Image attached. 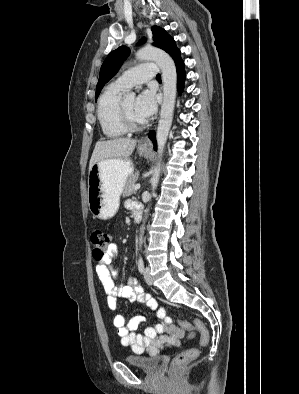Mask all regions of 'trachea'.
<instances>
[{
  "label": "trachea",
  "instance_id": "obj_1",
  "mask_svg": "<svg viewBox=\"0 0 299 394\" xmlns=\"http://www.w3.org/2000/svg\"><path fill=\"white\" fill-rule=\"evenodd\" d=\"M156 79H161V75L157 74Z\"/></svg>",
  "mask_w": 299,
  "mask_h": 394
}]
</instances>
